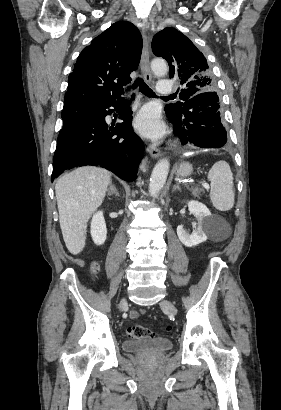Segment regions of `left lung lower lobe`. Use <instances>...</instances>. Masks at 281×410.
Here are the masks:
<instances>
[{"mask_svg": "<svg viewBox=\"0 0 281 410\" xmlns=\"http://www.w3.org/2000/svg\"><path fill=\"white\" fill-rule=\"evenodd\" d=\"M168 119L182 145L219 148L227 142V132L221 123L219 97L216 92L200 93L185 102L180 116Z\"/></svg>", "mask_w": 281, "mask_h": 410, "instance_id": "1", "label": "left lung lower lobe"}]
</instances>
